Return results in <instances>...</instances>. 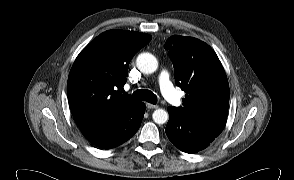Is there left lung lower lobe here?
<instances>
[{
  "mask_svg": "<svg viewBox=\"0 0 294 180\" xmlns=\"http://www.w3.org/2000/svg\"><path fill=\"white\" fill-rule=\"evenodd\" d=\"M170 115L165 132L169 140L181 151L196 153L205 149L219 136L225 127L224 118H192L183 115L175 107H169Z\"/></svg>",
  "mask_w": 294,
  "mask_h": 180,
  "instance_id": "1",
  "label": "left lung lower lobe"
}]
</instances>
